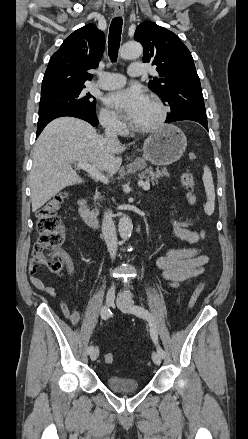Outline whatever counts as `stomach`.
I'll list each match as a JSON object with an SVG mask.
<instances>
[{
    "instance_id": "stomach-1",
    "label": "stomach",
    "mask_w": 248,
    "mask_h": 439,
    "mask_svg": "<svg viewBox=\"0 0 248 439\" xmlns=\"http://www.w3.org/2000/svg\"><path fill=\"white\" fill-rule=\"evenodd\" d=\"M186 146L185 134L174 125H166L145 140L143 157L154 165H169L183 156Z\"/></svg>"
}]
</instances>
